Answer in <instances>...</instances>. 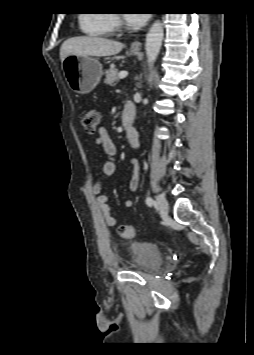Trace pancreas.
<instances>
[{"instance_id": "pancreas-1", "label": "pancreas", "mask_w": 254, "mask_h": 355, "mask_svg": "<svg viewBox=\"0 0 254 355\" xmlns=\"http://www.w3.org/2000/svg\"><path fill=\"white\" fill-rule=\"evenodd\" d=\"M106 77H105V83L108 85H115V83L118 81V70L111 68L105 72Z\"/></svg>"}]
</instances>
